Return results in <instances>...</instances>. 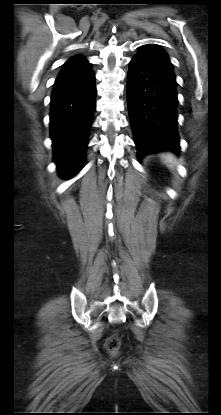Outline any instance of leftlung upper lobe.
Wrapping results in <instances>:
<instances>
[{
    "instance_id": "left-lung-upper-lobe-1",
    "label": "left lung upper lobe",
    "mask_w": 221,
    "mask_h": 415,
    "mask_svg": "<svg viewBox=\"0 0 221 415\" xmlns=\"http://www.w3.org/2000/svg\"><path fill=\"white\" fill-rule=\"evenodd\" d=\"M137 55L151 57L173 72L172 63L170 62L167 53L155 44L143 45Z\"/></svg>"
}]
</instances>
